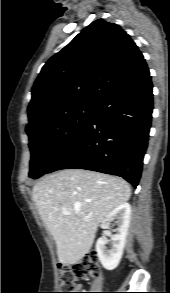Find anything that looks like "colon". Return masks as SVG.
<instances>
[{
	"label": "colon",
	"mask_w": 170,
	"mask_h": 293,
	"mask_svg": "<svg viewBox=\"0 0 170 293\" xmlns=\"http://www.w3.org/2000/svg\"><path fill=\"white\" fill-rule=\"evenodd\" d=\"M97 253L92 252L83 257V259L71 267L62 268L59 279L61 288L64 292L61 293H82L71 292L76 289L75 282L78 279L91 278L97 269Z\"/></svg>",
	"instance_id": "1"
}]
</instances>
